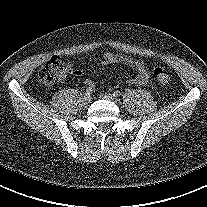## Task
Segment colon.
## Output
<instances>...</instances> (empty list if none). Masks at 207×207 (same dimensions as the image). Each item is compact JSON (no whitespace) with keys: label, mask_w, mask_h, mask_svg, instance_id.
Masks as SVG:
<instances>
[{"label":"colon","mask_w":207,"mask_h":207,"mask_svg":"<svg viewBox=\"0 0 207 207\" xmlns=\"http://www.w3.org/2000/svg\"><path fill=\"white\" fill-rule=\"evenodd\" d=\"M64 65L58 57L51 58L45 65L42 66L39 72V78L46 85H53L59 77L64 73ZM156 79L166 84L170 80V73L162 67L154 68Z\"/></svg>","instance_id":"1"}]
</instances>
